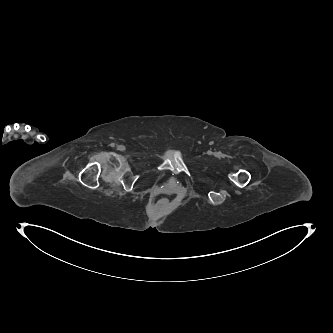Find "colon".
I'll return each mask as SVG.
<instances>
[{
  "label": "colon",
  "mask_w": 333,
  "mask_h": 333,
  "mask_svg": "<svg viewBox=\"0 0 333 333\" xmlns=\"http://www.w3.org/2000/svg\"><path fill=\"white\" fill-rule=\"evenodd\" d=\"M168 204V200L163 198V199H160L158 202H157V205L160 206V207H164Z\"/></svg>",
  "instance_id": "1"
}]
</instances>
